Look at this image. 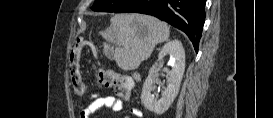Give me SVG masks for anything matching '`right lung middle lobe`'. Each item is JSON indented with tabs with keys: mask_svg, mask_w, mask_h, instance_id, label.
I'll return each mask as SVG.
<instances>
[{
	"mask_svg": "<svg viewBox=\"0 0 273 118\" xmlns=\"http://www.w3.org/2000/svg\"><path fill=\"white\" fill-rule=\"evenodd\" d=\"M129 0H95L92 10L97 12H116Z\"/></svg>",
	"mask_w": 273,
	"mask_h": 118,
	"instance_id": "1",
	"label": "right lung middle lobe"
}]
</instances>
